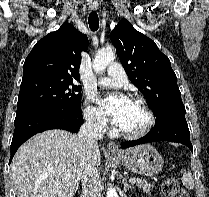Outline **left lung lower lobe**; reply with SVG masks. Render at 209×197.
Instances as JSON below:
<instances>
[{
  "mask_svg": "<svg viewBox=\"0 0 209 197\" xmlns=\"http://www.w3.org/2000/svg\"><path fill=\"white\" fill-rule=\"evenodd\" d=\"M185 113V108H174L162 111L156 116L155 126L146 136L138 140L123 142L121 143V147L128 148L135 145L162 140L182 143L193 151Z\"/></svg>",
  "mask_w": 209,
  "mask_h": 197,
  "instance_id": "left-lung-lower-lobe-1",
  "label": "left lung lower lobe"
}]
</instances>
